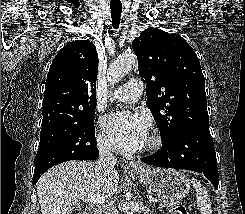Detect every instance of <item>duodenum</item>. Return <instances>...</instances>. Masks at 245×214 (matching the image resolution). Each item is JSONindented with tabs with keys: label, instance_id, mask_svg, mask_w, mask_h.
I'll return each instance as SVG.
<instances>
[{
	"label": "duodenum",
	"instance_id": "obj_1",
	"mask_svg": "<svg viewBox=\"0 0 245 214\" xmlns=\"http://www.w3.org/2000/svg\"><path fill=\"white\" fill-rule=\"evenodd\" d=\"M86 214H98V206L97 205H92L87 209Z\"/></svg>",
	"mask_w": 245,
	"mask_h": 214
}]
</instances>
